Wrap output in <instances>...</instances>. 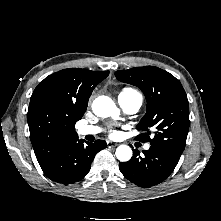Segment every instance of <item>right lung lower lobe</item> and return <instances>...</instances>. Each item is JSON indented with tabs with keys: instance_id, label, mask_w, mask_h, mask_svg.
<instances>
[{
	"instance_id": "98d812e1",
	"label": "right lung lower lobe",
	"mask_w": 221,
	"mask_h": 221,
	"mask_svg": "<svg viewBox=\"0 0 221 221\" xmlns=\"http://www.w3.org/2000/svg\"><path fill=\"white\" fill-rule=\"evenodd\" d=\"M84 142L83 139L72 141L39 163L45 175L61 184H71L83 179L89 172L95 155L106 148L103 140Z\"/></svg>"
}]
</instances>
